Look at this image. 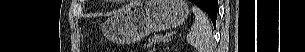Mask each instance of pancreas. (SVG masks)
<instances>
[{"label":"pancreas","mask_w":305,"mask_h":52,"mask_svg":"<svg viewBox=\"0 0 305 52\" xmlns=\"http://www.w3.org/2000/svg\"><path fill=\"white\" fill-rule=\"evenodd\" d=\"M167 39L163 35H154L152 38L149 39V45H153L155 43L166 42Z\"/></svg>","instance_id":"1"}]
</instances>
